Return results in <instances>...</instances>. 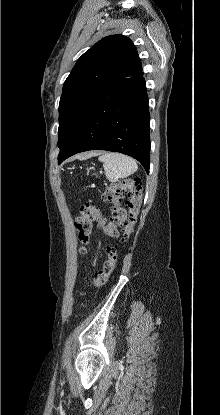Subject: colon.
I'll use <instances>...</instances> for the list:
<instances>
[{
  "label": "colon",
  "mask_w": 220,
  "mask_h": 415,
  "mask_svg": "<svg viewBox=\"0 0 220 415\" xmlns=\"http://www.w3.org/2000/svg\"><path fill=\"white\" fill-rule=\"evenodd\" d=\"M128 192L130 199L128 209L122 205L124 194ZM104 201L110 205L111 218H105L98 206L85 204L80 208V214L75 221V228L82 253L90 242L94 225L112 238L119 236V228L123 227L122 241L129 239L136 223L137 215L142 203V182L139 178L124 179L110 185L104 192ZM118 261V246H112L107 251V257L102 269L91 278L94 287L103 286L114 272ZM84 296L85 293L81 292Z\"/></svg>",
  "instance_id": "5ec220e1"
}]
</instances>
